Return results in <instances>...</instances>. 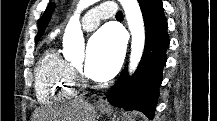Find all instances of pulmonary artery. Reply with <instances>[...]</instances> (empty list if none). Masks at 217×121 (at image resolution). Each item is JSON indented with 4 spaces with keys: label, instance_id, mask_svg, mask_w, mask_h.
Wrapping results in <instances>:
<instances>
[{
    "label": "pulmonary artery",
    "instance_id": "obj_1",
    "mask_svg": "<svg viewBox=\"0 0 217 121\" xmlns=\"http://www.w3.org/2000/svg\"><path fill=\"white\" fill-rule=\"evenodd\" d=\"M116 13V4L104 2L86 12L81 20V26L85 31L96 29L99 23L107 18H111Z\"/></svg>",
    "mask_w": 217,
    "mask_h": 121
}]
</instances>
